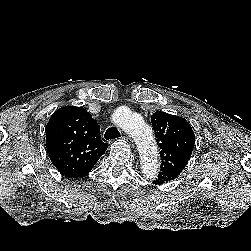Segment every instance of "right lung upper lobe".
<instances>
[{"label":"right lung upper lobe","instance_id":"obj_1","mask_svg":"<svg viewBox=\"0 0 251 251\" xmlns=\"http://www.w3.org/2000/svg\"><path fill=\"white\" fill-rule=\"evenodd\" d=\"M50 160L67 178L87 175L107 149L100 127L83 107L58 109L46 126Z\"/></svg>","mask_w":251,"mask_h":251}]
</instances>
